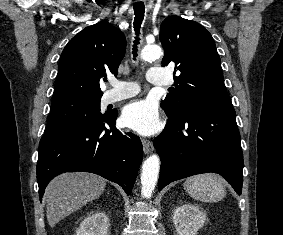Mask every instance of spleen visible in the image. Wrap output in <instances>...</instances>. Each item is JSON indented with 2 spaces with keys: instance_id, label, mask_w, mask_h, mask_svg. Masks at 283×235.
<instances>
[{
  "instance_id": "obj_1",
  "label": "spleen",
  "mask_w": 283,
  "mask_h": 235,
  "mask_svg": "<svg viewBox=\"0 0 283 235\" xmlns=\"http://www.w3.org/2000/svg\"><path fill=\"white\" fill-rule=\"evenodd\" d=\"M183 186L193 199L202 202H218L226 196L225 182L216 174H200L189 177Z\"/></svg>"
}]
</instances>
